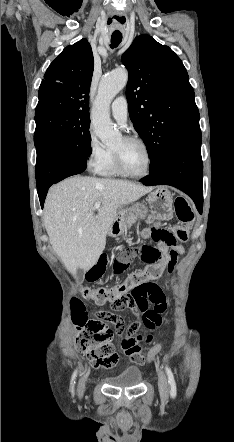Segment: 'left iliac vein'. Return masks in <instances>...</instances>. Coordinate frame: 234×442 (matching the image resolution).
I'll list each match as a JSON object with an SVG mask.
<instances>
[{"label":"left iliac vein","instance_id":"left-iliac-vein-1","mask_svg":"<svg viewBox=\"0 0 234 442\" xmlns=\"http://www.w3.org/2000/svg\"><path fill=\"white\" fill-rule=\"evenodd\" d=\"M158 386H159V392H160L161 398L163 400H167L168 393H169V387H168L165 373L162 370L158 371Z\"/></svg>","mask_w":234,"mask_h":442}]
</instances>
